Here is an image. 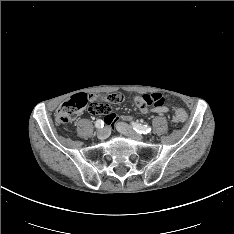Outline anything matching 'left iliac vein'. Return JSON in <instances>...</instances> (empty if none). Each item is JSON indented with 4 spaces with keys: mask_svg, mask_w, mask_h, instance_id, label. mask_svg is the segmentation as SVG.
Returning a JSON list of instances; mask_svg holds the SVG:
<instances>
[{
    "mask_svg": "<svg viewBox=\"0 0 234 234\" xmlns=\"http://www.w3.org/2000/svg\"><path fill=\"white\" fill-rule=\"evenodd\" d=\"M117 130L120 133L128 136L129 138H131L133 140L143 141V139H144L143 135L135 132L134 129L130 125L126 124V123H123V122L117 123Z\"/></svg>",
    "mask_w": 234,
    "mask_h": 234,
    "instance_id": "4c4485c4",
    "label": "left iliac vein"
}]
</instances>
